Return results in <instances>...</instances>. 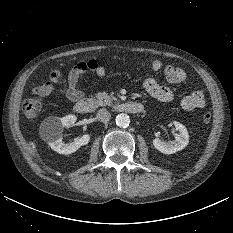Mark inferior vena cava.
<instances>
[{
  "mask_svg": "<svg viewBox=\"0 0 233 233\" xmlns=\"http://www.w3.org/2000/svg\"><path fill=\"white\" fill-rule=\"evenodd\" d=\"M96 117L99 121L106 123L110 120L111 114L106 109H100L97 111Z\"/></svg>",
  "mask_w": 233,
  "mask_h": 233,
  "instance_id": "1",
  "label": "inferior vena cava"
}]
</instances>
